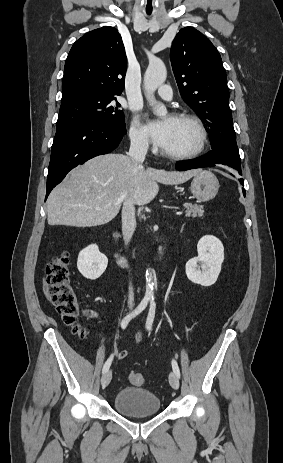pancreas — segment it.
I'll return each mask as SVG.
<instances>
[{"instance_id": "pancreas-1", "label": "pancreas", "mask_w": 283, "mask_h": 463, "mask_svg": "<svg viewBox=\"0 0 283 463\" xmlns=\"http://www.w3.org/2000/svg\"><path fill=\"white\" fill-rule=\"evenodd\" d=\"M183 206L185 208L186 217L196 218L203 216L204 206L192 203H185Z\"/></svg>"}]
</instances>
